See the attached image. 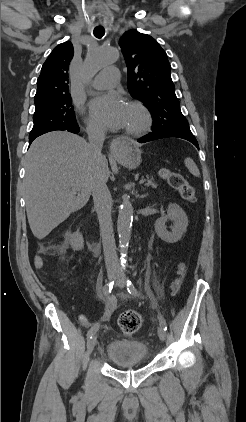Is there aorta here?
Returning a JSON list of instances; mask_svg holds the SVG:
<instances>
[{
    "instance_id": "1",
    "label": "aorta",
    "mask_w": 246,
    "mask_h": 422,
    "mask_svg": "<svg viewBox=\"0 0 246 422\" xmlns=\"http://www.w3.org/2000/svg\"><path fill=\"white\" fill-rule=\"evenodd\" d=\"M119 57V51L112 47H98L89 51L81 72V80L89 82L95 74L105 65L114 63ZM133 221V207L128 199L120 205L117 220L120 253L123 257L127 254L131 227Z\"/></svg>"
}]
</instances>
